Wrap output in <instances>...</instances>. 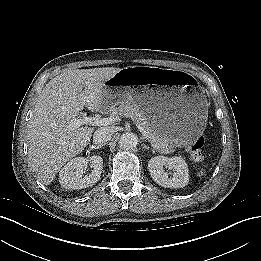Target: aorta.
Segmentation results:
<instances>
[{"label": "aorta", "instance_id": "762f6f07", "mask_svg": "<svg viewBox=\"0 0 261 261\" xmlns=\"http://www.w3.org/2000/svg\"><path fill=\"white\" fill-rule=\"evenodd\" d=\"M118 143L121 149L130 150L136 147L138 143V137L131 132L123 133L120 136Z\"/></svg>", "mask_w": 261, "mask_h": 261}]
</instances>
